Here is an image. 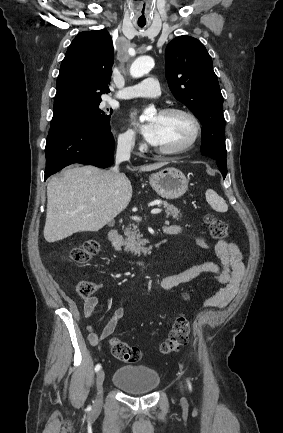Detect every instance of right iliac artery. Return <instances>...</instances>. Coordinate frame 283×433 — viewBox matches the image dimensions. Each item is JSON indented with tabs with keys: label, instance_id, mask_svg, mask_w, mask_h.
Segmentation results:
<instances>
[{
	"label": "right iliac artery",
	"instance_id": "right-iliac-artery-1",
	"mask_svg": "<svg viewBox=\"0 0 283 433\" xmlns=\"http://www.w3.org/2000/svg\"><path fill=\"white\" fill-rule=\"evenodd\" d=\"M100 368H101V365L97 364L96 367H95V371L98 372L100 370ZM89 408H91V407H89Z\"/></svg>",
	"mask_w": 283,
	"mask_h": 433
}]
</instances>
